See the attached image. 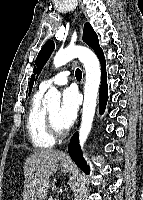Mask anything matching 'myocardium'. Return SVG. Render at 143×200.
<instances>
[{
	"label": "myocardium",
	"mask_w": 143,
	"mask_h": 200,
	"mask_svg": "<svg viewBox=\"0 0 143 200\" xmlns=\"http://www.w3.org/2000/svg\"><path fill=\"white\" fill-rule=\"evenodd\" d=\"M45 127L48 135L54 140L62 139L67 134L66 129L63 131H59L56 129L48 110H46L45 114Z\"/></svg>",
	"instance_id": "1"
}]
</instances>
